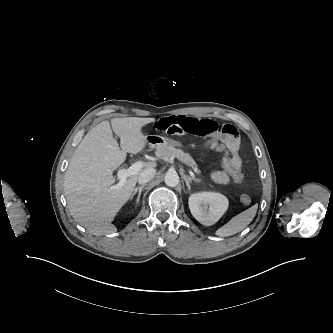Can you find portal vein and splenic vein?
<instances>
[{"label":"portal vein and splenic vein","instance_id":"18ae733b","mask_svg":"<svg viewBox=\"0 0 333 333\" xmlns=\"http://www.w3.org/2000/svg\"><path fill=\"white\" fill-rule=\"evenodd\" d=\"M143 168L142 162H136L133 165H131L127 169H121L117 173V177L119 179L118 184L116 187H122L125 185L126 180L128 177L135 175L137 172H139ZM192 177H195L194 173L191 174Z\"/></svg>","mask_w":333,"mask_h":333}]
</instances>
